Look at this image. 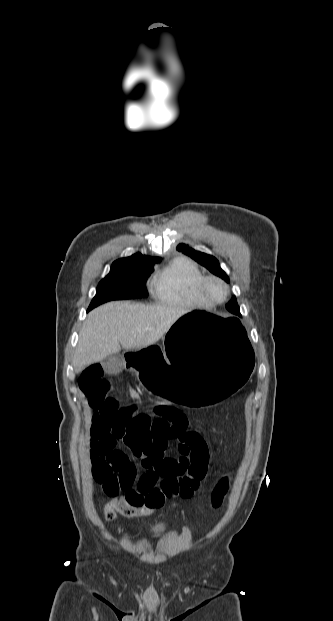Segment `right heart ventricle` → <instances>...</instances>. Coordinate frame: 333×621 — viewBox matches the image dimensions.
<instances>
[{
    "label": "right heart ventricle",
    "instance_id": "obj_1",
    "mask_svg": "<svg viewBox=\"0 0 333 621\" xmlns=\"http://www.w3.org/2000/svg\"><path fill=\"white\" fill-rule=\"evenodd\" d=\"M203 278V272L195 263L178 257L157 273L153 294L159 302L168 305L210 308L212 305L204 299L199 289Z\"/></svg>",
    "mask_w": 333,
    "mask_h": 621
}]
</instances>
